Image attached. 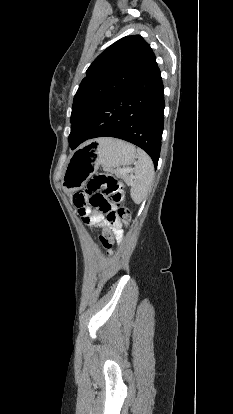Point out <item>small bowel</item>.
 <instances>
[{"instance_id": "obj_1", "label": "small bowel", "mask_w": 233, "mask_h": 414, "mask_svg": "<svg viewBox=\"0 0 233 414\" xmlns=\"http://www.w3.org/2000/svg\"><path fill=\"white\" fill-rule=\"evenodd\" d=\"M80 216L83 217L84 221L93 225L104 224L107 226L117 237L122 236V221L118 218H114L111 221H106L102 212L96 208L85 206L82 211L78 209Z\"/></svg>"}]
</instances>
